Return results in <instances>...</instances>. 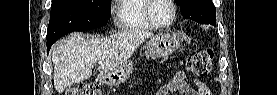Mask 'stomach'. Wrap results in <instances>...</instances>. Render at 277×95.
I'll use <instances>...</instances> for the list:
<instances>
[{"label": "stomach", "mask_w": 277, "mask_h": 95, "mask_svg": "<svg viewBox=\"0 0 277 95\" xmlns=\"http://www.w3.org/2000/svg\"><path fill=\"white\" fill-rule=\"evenodd\" d=\"M180 46L177 36L172 34H157L149 38L145 46L147 57H164L172 54ZM133 70L131 61H127L113 71L102 74L101 81L109 86H116L125 82Z\"/></svg>", "instance_id": "stomach-1"}]
</instances>
